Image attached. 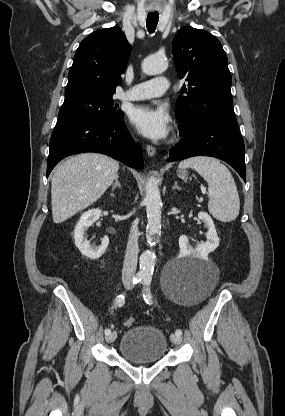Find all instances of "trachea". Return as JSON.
I'll return each instance as SVG.
<instances>
[{"label":"trachea","instance_id":"obj_1","mask_svg":"<svg viewBox=\"0 0 285 416\" xmlns=\"http://www.w3.org/2000/svg\"><path fill=\"white\" fill-rule=\"evenodd\" d=\"M159 15L158 13H148L147 19H146V25L149 33H153L156 29V26L158 24Z\"/></svg>","mask_w":285,"mask_h":416}]
</instances>
